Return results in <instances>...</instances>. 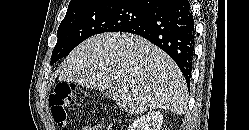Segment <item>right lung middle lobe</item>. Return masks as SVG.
Wrapping results in <instances>:
<instances>
[{
    "label": "right lung middle lobe",
    "mask_w": 249,
    "mask_h": 130,
    "mask_svg": "<svg viewBox=\"0 0 249 130\" xmlns=\"http://www.w3.org/2000/svg\"><path fill=\"white\" fill-rule=\"evenodd\" d=\"M154 14V11L128 0L96 1L67 10L58 28V40L50 64L67 56L78 44L93 35L122 31Z\"/></svg>",
    "instance_id": "1"
}]
</instances>
